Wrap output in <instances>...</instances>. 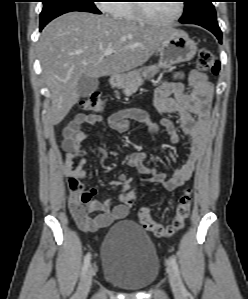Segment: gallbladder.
I'll use <instances>...</instances> for the list:
<instances>
[{"label": "gallbladder", "mask_w": 248, "mask_h": 299, "mask_svg": "<svg viewBox=\"0 0 248 299\" xmlns=\"http://www.w3.org/2000/svg\"><path fill=\"white\" fill-rule=\"evenodd\" d=\"M99 86L98 78L82 75L77 84V90L81 97H87L97 90Z\"/></svg>", "instance_id": "obj_1"}]
</instances>
